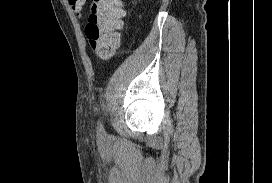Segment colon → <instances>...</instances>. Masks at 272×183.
Wrapping results in <instances>:
<instances>
[{"label":"colon","mask_w":272,"mask_h":183,"mask_svg":"<svg viewBox=\"0 0 272 183\" xmlns=\"http://www.w3.org/2000/svg\"><path fill=\"white\" fill-rule=\"evenodd\" d=\"M74 9L85 0H70ZM124 10L122 0H91L85 33L91 48L103 59L110 58L120 42Z\"/></svg>","instance_id":"5ec220e1"}]
</instances>
